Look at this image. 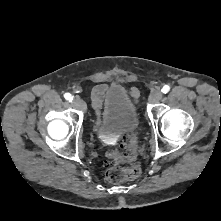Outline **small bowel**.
<instances>
[{
  "label": "small bowel",
  "instance_id": "small-bowel-1",
  "mask_svg": "<svg viewBox=\"0 0 221 221\" xmlns=\"http://www.w3.org/2000/svg\"><path fill=\"white\" fill-rule=\"evenodd\" d=\"M106 90H107L106 84H99L92 89L91 94H90L91 104L98 116V122H99V117H100V113L102 109L103 97H104ZM133 93L135 94L136 91H133Z\"/></svg>",
  "mask_w": 221,
  "mask_h": 221
}]
</instances>
